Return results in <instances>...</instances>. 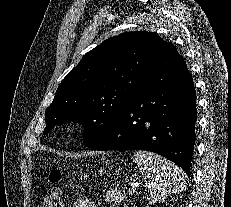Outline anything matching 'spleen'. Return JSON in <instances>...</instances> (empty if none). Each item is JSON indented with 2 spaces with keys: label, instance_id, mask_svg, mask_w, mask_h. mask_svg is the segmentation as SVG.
<instances>
[{
  "label": "spleen",
  "instance_id": "obj_1",
  "mask_svg": "<svg viewBox=\"0 0 231 207\" xmlns=\"http://www.w3.org/2000/svg\"><path fill=\"white\" fill-rule=\"evenodd\" d=\"M134 160L147 179L150 203L162 202L171 194L185 189V172L165 158L152 152L136 151Z\"/></svg>",
  "mask_w": 231,
  "mask_h": 207
}]
</instances>
